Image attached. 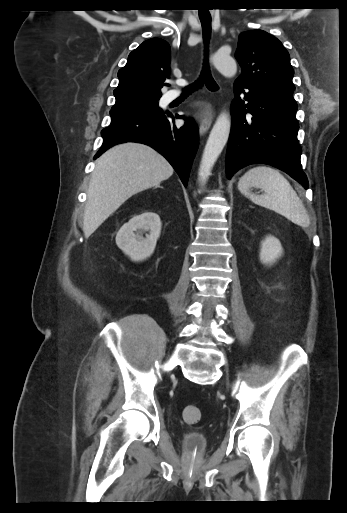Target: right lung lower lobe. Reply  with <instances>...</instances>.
Masks as SVG:
<instances>
[{
  "instance_id": "1",
  "label": "right lung lower lobe",
  "mask_w": 347,
  "mask_h": 513,
  "mask_svg": "<svg viewBox=\"0 0 347 513\" xmlns=\"http://www.w3.org/2000/svg\"><path fill=\"white\" fill-rule=\"evenodd\" d=\"M173 116L163 111L139 113L111 118V125L102 130L103 145L95 156L99 157L110 147L123 142H138L151 146L173 166L184 186H187L190 169L198 149V130L193 120L181 128L171 121Z\"/></svg>"
}]
</instances>
